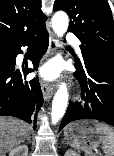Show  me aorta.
Here are the masks:
<instances>
[{"mask_svg": "<svg viewBox=\"0 0 114 156\" xmlns=\"http://www.w3.org/2000/svg\"><path fill=\"white\" fill-rule=\"evenodd\" d=\"M69 25L68 15L63 11H58L53 15L52 28L58 37H62ZM68 90L65 83H62L52 102L51 119L52 123H57L65 114L68 104Z\"/></svg>", "mask_w": 114, "mask_h": 156, "instance_id": "1", "label": "aorta"}]
</instances>
